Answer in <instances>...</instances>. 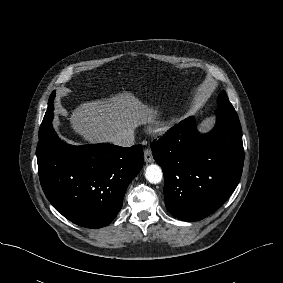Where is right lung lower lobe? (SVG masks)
Instances as JSON below:
<instances>
[{"label":"right lung lower lobe","mask_w":283,"mask_h":283,"mask_svg":"<svg viewBox=\"0 0 283 283\" xmlns=\"http://www.w3.org/2000/svg\"><path fill=\"white\" fill-rule=\"evenodd\" d=\"M37 162L41 186L55 209L79 226L101 228L119 213L144 159L141 145H67L50 125L39 139Z\"/></svg>","instance_id":"1"}]
</instances>
